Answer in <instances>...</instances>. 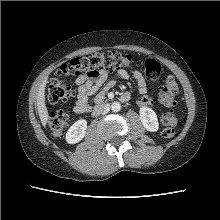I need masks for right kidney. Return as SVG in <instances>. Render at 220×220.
<instances>
[{"label":"right kidney","mask_w":220,"mask_h":220,"mask_svg":"<svg viewBox=\"0 0 220 220\" xmlns=\"http://www.w3.org/2000/svg\"><path fill=\"white\" fill-rule=\"evenodd\" d=\"M87 130V121L84 119H80L76 121L67 131L66 133V142L69 144H75L80 142Z\"/></svg>","instance_id":"ca27d5eb"}]
</instances>
